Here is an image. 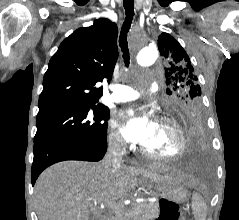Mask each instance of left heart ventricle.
<instances>
[{
    "label": "left heart ventricle",
    "mask_w": 239,
    "mask_h": 220,
    "mask_svg": "<svg viewBox=\"0 0 239 220\" xmlns=\"http://www.w3.org/2000/svg\"><path fill=\"white\" fill-rule=\"evenodd\" d=\"M178 144V135L170 125L154 121L151 134L143 146L157 154L172 155L178 150Z\"/></svg>",
    "instance_id": "obj_1"
}]
</instances>
